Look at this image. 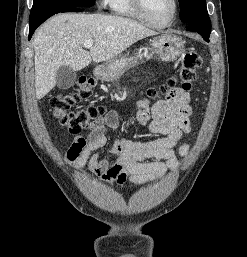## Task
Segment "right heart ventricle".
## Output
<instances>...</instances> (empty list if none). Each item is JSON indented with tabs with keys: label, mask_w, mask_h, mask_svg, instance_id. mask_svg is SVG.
I'll return each mask as SVG.
<instances>
[{
	"label": "right heart ventricle",
	"mask_w": 247,
	"mask_h": 257,
	"mask_svg": "<svg viewBox=\"0 0 247 257\" xmlns=\"http://www.w3.org/2000/svg\"><path fill=\"white\" fill-rule=\"evenodd\" d=\"M109 7L112 13L131 18H140L135 11L131 0H110Z\"/></svg>",
	"instance_id": "right-heart-ventricle-1"
}]
</instances>
